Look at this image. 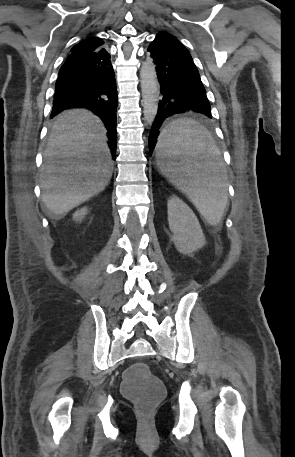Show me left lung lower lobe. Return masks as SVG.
<instances>
[{
    "label": "left lung lower lobe",
    "mask_w": 295,
    "mask_h": 457,
    "mask_svg": "<svg viewBox=\"0 0 295 457\" xmlns=\"http://www.w3.org/2000/svg\"><path fill=\"white\" fill-rule=\"evenodd\" d=\"M147 51L156 65L162 99L149 136V150L160 136L163 121L174 114L197 112L212 118L211 107L191 55L179 47L155 38Z\"/></svg>",
    "instance_id": "left-lung-lower-lobe-1"
}]
</instances>
